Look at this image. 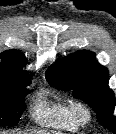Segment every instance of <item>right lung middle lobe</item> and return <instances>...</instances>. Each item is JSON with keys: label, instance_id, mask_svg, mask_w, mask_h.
<instances>
[{"label": "right lung middle lobe", "instance_id": "right-lung-middle-lobe-1", "mask_svg": "<svg viewBox=\"0 0 116 134\" xmlns=\"http://www.w3.org/2000/svg\"><path fill=\"white\" fill-rule=\"evenodd\" d=\"M30 83L29 80L27 85ZM26 86L20 92L0 91V126L18 124L21 114L26 108L24 97L29 93Z\"/></svg>", "mask_w": 116, "mask_h": 134}]
</instances>
